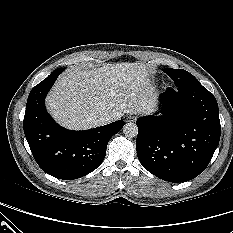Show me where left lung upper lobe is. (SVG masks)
Listing matches in <instances>:
<instances>
[{"label":"left lung upper lobe","mask_w":233,"mask_h":233,"mask_svg":"<svg viewBox=\"0 0 233 233\" xmlns=\"http://www.w3.org/2000/svg\"><path fill=\"white\" fill-rule=\"evenodd\" d=\"M163 71L174 80L177 87L191 82H199L192 74L183 69L165 68Z\"/></svg>","instance_id":"obj_1"}]
</instances>
